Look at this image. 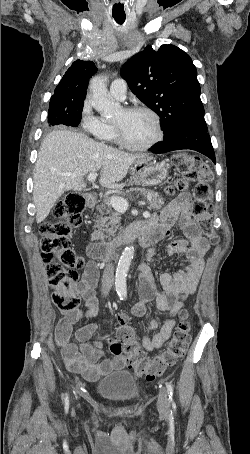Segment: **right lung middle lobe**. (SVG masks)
Here are the masks:
<instances>
[{
  "instance_id": "right-lung-middle-lobe-1",
  "label": "right lung middle lobe",
  "mask_w": 250,
  "mask_h": 454,
  "mask_svg": "<svg viewBox=\"0 0 250 454\" xmlns=\"http://www.w3.org/2000/svg\"><path fill=\"white\" fill-rule=\"evenodd\" d=\"M84 99L70 101L64 98H51L48 111V123L50 126L63 124L77 127L81 121V112Z\"/></svg>"
}]
</instances>
